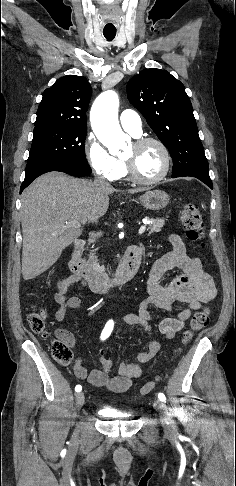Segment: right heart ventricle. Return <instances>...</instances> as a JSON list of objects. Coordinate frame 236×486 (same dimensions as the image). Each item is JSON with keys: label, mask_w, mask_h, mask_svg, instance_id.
Returning <instances> with one entry per match:
<instances>
[{"label": "right heart ventricle", "mask_w": 236, "mask_h": 486, "mask_svg": "<svg viewBox=\"0 0 236 486\" xmlns=\"http://www.w3.org/2000/svg\"><path fill=\"white\" fill-rule=\"evenodd\" d=\"M122 163V172H121V175H120V178L121 177H125L127 174H126V168H125V165L123 162Z\"/></svg>", "instance_id": "obj_1"}]
</instances>
